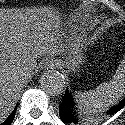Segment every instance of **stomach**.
I'll use <instances>...</instances> for the list:
<instances>
[{"instance_id":"0dacf381","label":"stomach","mask_w":125,"mask_h":125,"mask_svg":"<svg viewBox=\"0 0 125 125\" xmlns=\"http://www.w3.org/2000/svg\"><path fill=\"white\" fill-rule=\"evenodd\" d=\"M82 60V59H81ZM77 61H79V62H76V60L72 63V65H70L71 67H72V70H74L75 71V68H78L77 66H79V63H81V61H80V58H79V60H78V58H77Z\"/></svg>"}]
</instances>
